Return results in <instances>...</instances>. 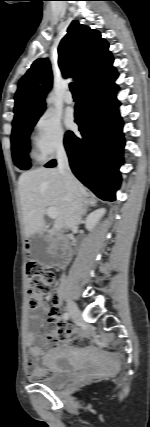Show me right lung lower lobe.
<instances>
[{
    "label": "right lung lower lobe",
    "mask_w": 150,
    "mask_h": 427,
    "mask_svg": "<svg viewBox=\"0 0 150 427\" xmlns=\"http://www.w3.org/2000/svg\"><path fill=\"white\" fill-rule=\"evenodd\" d=\"M117 76L111 67L79 91L75 122L80 133L68 131L64 139L75 176L106 201L115 200L125 145L118 111L120 103L116 99L118 86L114 83ZM55 165V160H52L45 166Z\"/></svg>",
    "instance_id": "right-lung-lower-lobe-1"
}]
</instances>
